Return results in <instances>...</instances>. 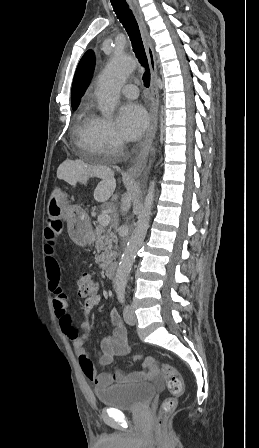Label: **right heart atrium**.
Here are the masks:
<instances>
[{"instance_id": "d8ad5b80", "label": "right heart atrium", "mask_w": 259, "mask_h": 448, "mask_svg": "<svg viewBox=\"0 0 259 448\" xmlns=\"http://www.w3.org/2000/svg\"><path fill=\"white\" fill-rule=\"evenodd\" d=\"M96 152L104 160L121 153L124 141L114 122L109 118H100L96 132Z\"/></svg>"}]
</instances>
